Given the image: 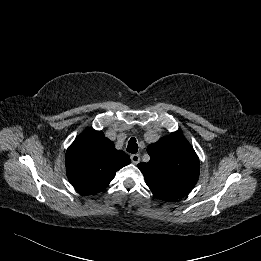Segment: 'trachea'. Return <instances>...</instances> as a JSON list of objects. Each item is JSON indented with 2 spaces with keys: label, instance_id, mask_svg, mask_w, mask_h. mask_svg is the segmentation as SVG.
I'll return each instance as SVG.
<instances>
[{
  "label": "trachea",
  "instance_id": "1",
  "mask_svg": "<svg viewBox=\"0 0 261 261\" xmlns=\"http://www.w3.org/2000/svg\"><path fill=\"white\" fill-rule=\"evenodd\" d=\"M127 151L129 153L135 154L138 151V144L135 138H130L127 146Z\"/></svg>",
  "mask_w": 261,
  "mask_h": 261
}]
</instances>
